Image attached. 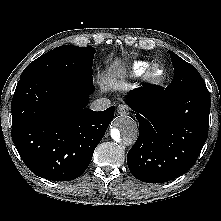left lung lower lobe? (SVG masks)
Wrapping results in <instances>:
<instances>
[{
	"label": "left lung lower lobe",
	"mask_w": 221,
	"mask_h": 221,
	"mask_svg": "<svg viewBox=\"0 0 221 221\" xmlns=\"http://www.w3.org/2000/svg\"><path fill=\"white\" fill-rule=\"evenodd\" d=\"M136 113L139 136L127 154L133 176L162 183L179 177L196 162L208 136L207 87L179 92L148 86L126 96Z\"/></svg>",
	"instance_id": "0a47b994"
}]
</instances>
